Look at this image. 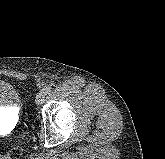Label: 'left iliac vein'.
Segmentation results:
<instances>
[{"label": "left iliac vein", "mask_w": 165, "mask_h": 159, "mask_svg": "<svg viewBox=\"0 0 165 159\" xmlns=\"http://www.w3.org/2000/svg\"><path fill=\"white\" fill-rule=\"evenodd\" d=\"M45 96H46V93L43 90H41L35 98V103L37 105H42L45 101Z\"/></svg>", "instance_id": "4c4485c4"}]
</instances>
